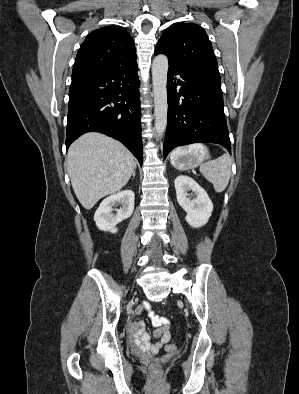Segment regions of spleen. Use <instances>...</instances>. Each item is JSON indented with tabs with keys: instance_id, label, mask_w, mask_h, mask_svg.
Wrapping results in <instances>:
<instances>
[{
	"instance_id": "3e777b00",
	"label": "spleen",
	"mask_w": 299,
	"mask_h": 394,
	"mask_svg": "<svg viewBox=\"0 0 299 394\" xmlns=\"http://www.w3.org/2000/svg\"><path fill=\"white\" fill-rule=\"evenodd\" d=\"M204 147L200 144L191 145L189 150H194ZM209 158V156H207ZM231 157L225 153L215 160H210L200 165V172L204 177L210 181L217 193L223 192L230 180L231 175Z\"/></svg>"
}]
</instances>
